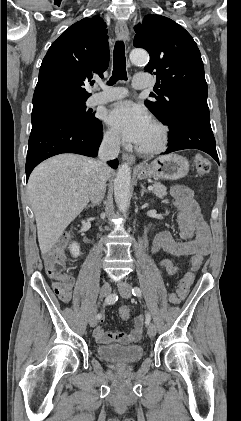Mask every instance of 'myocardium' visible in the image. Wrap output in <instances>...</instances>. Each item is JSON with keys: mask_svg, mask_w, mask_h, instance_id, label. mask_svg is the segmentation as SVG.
<instances>
[{"mask_svg": "<svg viewBox=\"0 0 241 421\" xmlns=\"http://www.w3.org/2000/svg\"><path fill=\"white\" fill-rule=\"evenodd\" d=\"M152 124L155 126V128L158 130L159 139L158 142L154 146L150 147H142L137 146L136 151L143 155H156L160 154L163 151L166 150L169 140H170V132L169 128L160 121H153Z\"/></svg>", "mask_w": 241, "mask_h": 421, "instance_id": "f54148a6", "label": "myocardium"}]
</instances>
